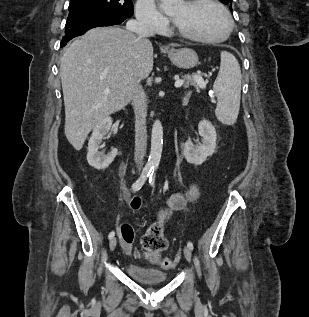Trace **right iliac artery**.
<instances>
[{"label":"right iliac artery","instance_id":"right-iliac-artery-1","mask_svg":"<svg viewBox=\"0 0 309 317\" xmlns=\"http://www.w3.org/2000/svg\"><path fill=\"white\" fill-rule=\"evenodd\" d=\"M153 169V166L152 165H146L144 168H143V171L140 175V177L137 179V181L132 185V190L134 192L138 191L141 189V187L144 185V183L146 182L147 178L149 177L151 171ZM115 235V232L114 231H111L108 235V238L109 239H112Z\"/></svg>","mask_w":309,"mask_h":317}]
</instances>
